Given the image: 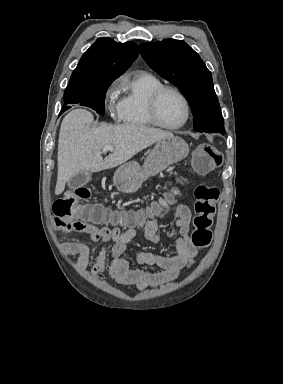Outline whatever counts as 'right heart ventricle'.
<instances>
[{"instance_id":"e07e8e85","label":"right heart ventricle","mask_w":283,"mask_h":384,"mask_svg":"<svg viewBox=\"0 0 283 384\" xmlns=\"http://www.w3.org/2000/svg\"><path fill=\"white\" fill-rule=\"evenodd\" d=\"M162 85L155 76L136 72L126 77L120 100V120L127 126L150 129L154 125L146 113V103L152 93Z\"/></svg>"}]
</instances>
